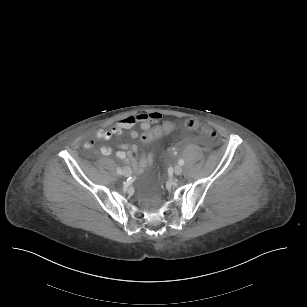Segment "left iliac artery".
<instances>
[{
	"label": "left iliac artery",
	"instance_id": "obj_1",
	"mask_svg": "<svg viewBox=\"0 0 307 307\" xmlns=\"http://www.w3.org/2000/svg\"><path fill=\"white\" fill-rule=\"evenodd\" d=\"M178 163H179V165H184V163H185V161L183 160V159H180L179 161H178Z\"/></svg>",
	"mask_w": 307,
	"mask_h": 307
}]
</instances>
